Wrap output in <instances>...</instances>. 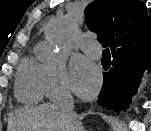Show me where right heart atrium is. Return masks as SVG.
<instances>
[{"instance_id": "right-heart-atrium-1", "label": "right heart atrium", "mask_w": 151, "mask_h": 131, "mask_svg": "<svg viewBox=\"0 0 151 131\" xmlns=\"http://www.w3.org/2000/svg\"><path fill=\"white\" fill-rule=\"evenodd\" d=\"M40 73L45 95L59 98L70 94L66 58L53 52H46L40 61Z\"/></svg>"}]
</instances>
